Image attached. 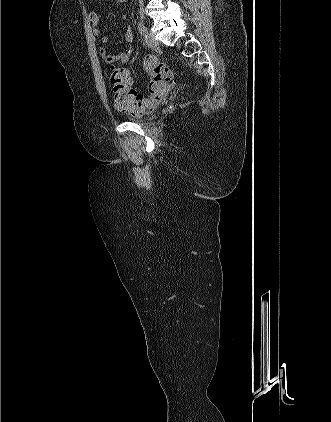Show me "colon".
<instances>
[{
	"instance_id": "colon-1",
	"label": "colon",
	"mask_w": 331,
	"mask_h": 422,
	"mask_svg": "<svg viewBox=\"0 0 331 422\" xmlns=\"http://www.w3.org/2000/svg\"><path fill=\"white\" fill-rule=\"evenodd\" d=\"M144 70L151 77L149 91L151 98H145L131 87V80L122 64L111 66L110 84L114 93V105L118 111L140 116L152 111L164 98L171 81L172 72L169 65L158 61L152 55L145 57Z\"/></svg>"
}]
</instances>
